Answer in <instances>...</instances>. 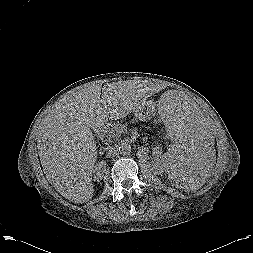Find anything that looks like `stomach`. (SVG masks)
Returning <instances> with one entry per match:
<instances>
[{
    "label": "stomach",
    "mask_w": 253,
    "mask_h": 253,
    "mask_svg": "<svg viewBox=\"0 0 253 253\" xmlns=\"http://www.w3.org/2000/svg\"><path fill=\"white\" fill-rule=\"evenodd\" d=\"M134 112L135 117L140 121H147L155 115L154 106L150 103L140 105Z\"/></svg>",
    "instance_id": "1"
}]
</instances>
